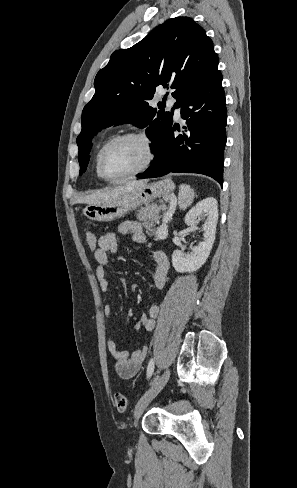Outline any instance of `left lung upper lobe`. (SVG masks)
Here are the masks:
<instances>
[{
	"label": "left lung upper lobe",
	"instance_id": "5c2ea615",
	"mask_svg": "<svg viewBox=\"0 0 297 488\" xmlns=\"http://www.w3.org/2000/svg\"><path fill=\"white\" fill-rule=\"evenodd\" d=\"M218 63L212 40L190 17L169 19L133 47L113 52L97 73L95 94L82 112L76 140L80 174L86 171L92 138L113 124L147 127L157 154L173 120L172 113L161 111V103L159 111L149 106L155 88L173 89L174 107H181L219 72Z\"/></svg>",
	"mask_w": 297,
	"mask_h": 488
}]
</instances>
